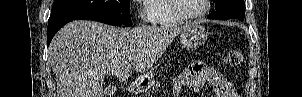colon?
Returning a JSON list of instances; mask_svg holds the SVG:
<instances>
[{"label":"colon","mask_w":302,"mask_h":97,"mask_svg":"<svg viewBox=\"0 0 302 97\" xmlns=\"http://www.w3.org/2000/svg\"><path fill=\"white\" fill-rule=\"evenodd\" d=\"M226 63L231 66L240 65L244 60V54L240 50H230L226 54Z\"/></svg>","instance_id":"5ec220e1"}]
</instances>
